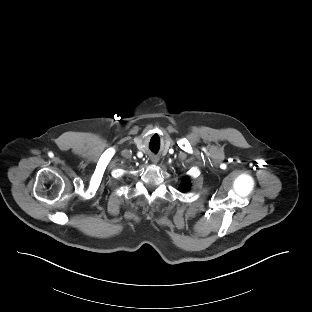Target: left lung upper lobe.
<instances>
[{"label": "left lung upper lobe", "instance_id": "5c2ea615", "mask_svg": "<svg viewBox=\"0 0 312 312\" xmlns=\"http://www.w3.org/2000/svg\"><path fill=\"white\" fill-rule=\"evenodd\" d=\"M189 182H190V181H189L188 178H185V179L183 180V184H181V190H182V191L189 190V187H190Z\"/></svg>", "mask_w": 312, "mask_h": 312}]
</instances>
